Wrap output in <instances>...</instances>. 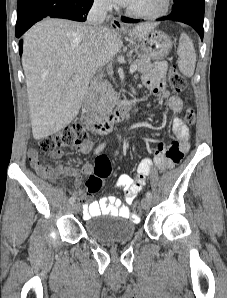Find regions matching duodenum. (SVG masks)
<instances>
[{"instance_id":"410a0bca","label":"duodenum","mask_w":227,"mask_h":298,"mask_svg":"<svg viewBox=\"0 0 227 298\" xmlns=\"http://www.w3.org/2000/svg\"><path fill=\"white\" fill-rule=\"evenodd\" d=\"M95 102V93L93 91L89 92L85 98L86 113L84 122L90 130L99 134L110 133L113 126L124 120L135 105L134 102H125L108 114L98 115L94 112Z\"/></svg>"}]
</instances>
